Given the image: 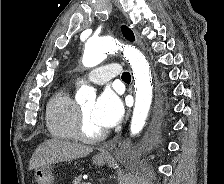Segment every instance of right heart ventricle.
<instances>
[{
  "instance_id": "e07e8e85",
  "label": "right heart ventricle",
  "mask_w": 224,
  "mask_h": 184,
  "mask_svg": "<svg viewBox=\"0 0 224 184\" xmlns=\"http://www.w3.org/2000/svg\"><path fill=\"white\" fill-rule=\"evenodd\" d=\"M78 104L68 88L57 90L46 106V126L50 134L62 140H76V115Z\"/></svg>"
}]
</instances>
